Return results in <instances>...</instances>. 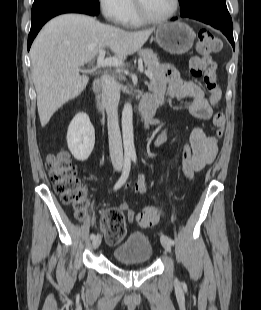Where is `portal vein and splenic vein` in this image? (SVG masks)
<instances>
[{
	"label": "portal vein and splenic vein",
	"instance_id": "18ae733b",
	"mask_svg": "<svg viewBox=\"0 0 261 310\" xmlns=\"http://www.w3.org/2000/svg\"><path fill=\"white\" fill-rule=\"evenodd\" d=\"M124 65V62L121 59L115 58V57H109L105 58V51L101 50L99 52L98 58H97V67H106V66H116V67H122ZM145 74L149 79H153V75L151 71L145 70Z\"/></svg>",
	"mask_w": 261,
	"mask_h": 310
}]
</instances>
